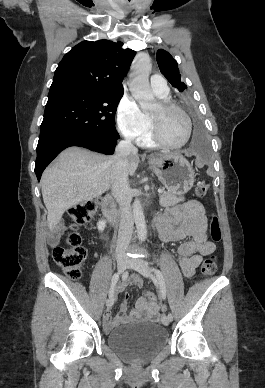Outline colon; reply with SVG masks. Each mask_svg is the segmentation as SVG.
Returning a JSON list of instances; mask_svg holds the SVG:
<instances>
[{"mask_svg":"<svg viewBox=\"0 0 265 388\" xmlns=\"http://www.w3.org/2000/svg\"><path fill=\"white\" fill-rule=\"evenodd\" d=\"M208 185L199 183L196 193L200 197L206 196ZM99 206L98 199H92L73 205L68 214L71 219L70 233L67 236V247H56L53 250L54 261L63 269L65 274L71 279H78L81 275L84 262L86 260V249L81 245V236L77 228L89 222L94 216ZM210 234L214 242L221 240L220 222L216 215H212L210 220ZM217 269V259L214 255L205 258L201 266V274L204 277L212 276ZM144 298L151 304H158V298L154 292L145 291Z\"/></svg>","mask_w":265,"mask_h":388,"instance_id":"5ec220e1","label":"colon"}]
</instances>
